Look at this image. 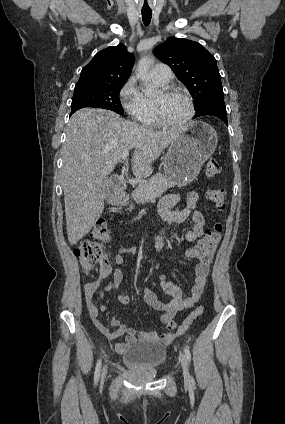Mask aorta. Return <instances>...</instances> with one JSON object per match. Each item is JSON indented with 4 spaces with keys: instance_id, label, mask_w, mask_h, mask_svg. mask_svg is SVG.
Wrapping results in <instances>:
<instances>
[{
    "instance_id": "obj_1",
    "label": "aorta",
    "mask_w": 285,
    "mask_h": 424,
    "mask_svg": "<svg viewBox=\"0 0 285 424\" xmlns=\"http://www.w3.org/2000/svg\"><path fill=\"white\" fill-rule=\"evenodd\" d=\"M153 60L150 57H143L137 66V78L144 84V93L146 95H153L156 93V87L152 83V75L150 74V67Z\"/></svg>"
}]
</instances>
